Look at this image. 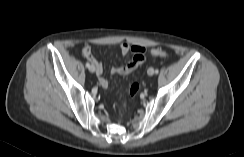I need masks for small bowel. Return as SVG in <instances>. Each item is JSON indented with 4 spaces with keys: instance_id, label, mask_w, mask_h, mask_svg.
<instances>
[{
    "instance_id": "c3829d8e",
    "label": "small bowel",
    "mask_w": 244,
    "mask_h": 157,
    "mask_svg": "<svg viewBox=\"0 0 244 157\" xmlns=\"http://www.w3.org/2000/svg\"><path fill=\"white\" fill-rule=\"evenodd\" d=\"M120 52L123 55L128 53L133 54L132 60L124 66L113 67L111 69L112 74H119V75H127L133 72L138 66H140L143 62L138 61L136 58L137 56L144 52L145 49L139 45H130L128 43H121L119 45ZM82 55L90 61V63L95 67V71L101 86L106 87L108 85L107 79L104 77V68L102 64L93 56L91 48L89 46H85L82 48Z\"/></svg>"
}]
</instances>
